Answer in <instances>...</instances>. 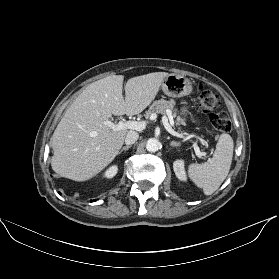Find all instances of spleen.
Instances as JSON below:
<instances>
[{"mask_svg": "<svg viewBox=\"0 0 279 279\" xmlns=\"http://www.w3.org/2000/svg\"><path fill=\"white\" fill-rule=\"evenodd\" d=\"M234 143L229 134H221L214 155L205 163H192L188 167L190 179L203 189L205 195L213 194L226 179L233 157Z\"/></svg>", "mask_w": 279, "mask_h": 279, "instance_id": "spleen-1", "label": "spleen"}]
</instances>
